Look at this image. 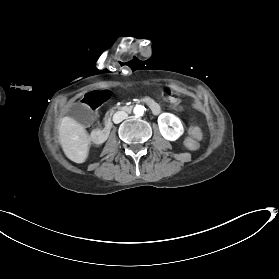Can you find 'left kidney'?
<instances>
[{"label": "left kidney", "mask_w": 279, "mask_h": 279, "mask_svg": "<svg viewBox=\"0 0 279 279\" xmlns=\"http://www.w3.org/2000/svg\"><path fill=\"white\" fill-rule=\"evenodd\" d=\"M157 122L160 134L168 141L178 140L185 132L181 120L172 113H161ZM168 124H170L172 128H169Z\"/></svg>", "instance_id": "1"}]
</instances>
